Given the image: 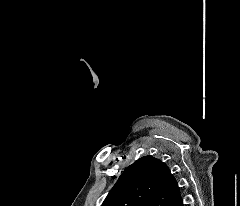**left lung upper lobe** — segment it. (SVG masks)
I'll use <instances>...</instances> for the list:
<instances>
[{
  "label": "left lung upper lobe",
  "mask_w": 240,
  "mask_h": 206,
  "mask_svg": "<svg viewBox=\"0 0 240 206\" xmlns=\"http://www.w3.org/2000/svg\"><path fill=\"white\" fill-rule=\"evenodd\" d=\"M179 193L165 163L145 156L121 174L101 206H170Z\"/></svg>",
  "instance_id": "obj_1"
}]
</instances>
